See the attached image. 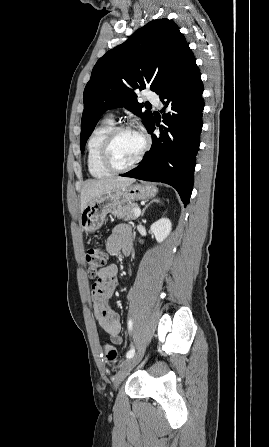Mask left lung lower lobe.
<instances>
[{
    "instance_id": "0a47b994",
    "label": "left lung lower lobe",
    "mask_w": 269,
    "mask_h": 447,
    "mask_svg": "<svg viewBox=\"0 0 269 447\" xmlns=\"http://www.w3.org/2000/svg\"><path fill=\"white\" fill-rule=\"evenodd\" d=\"M195 57L188 48L174 75L159 94L164 104V125L160 135L154 134L155 120L147 130L152 136V148L142 164L121 176L171 185L184 204L189 203L193 189L196 155L200 145L203 83ZM156 119V124L158 125Z\"/></svg>"
}]
</instances>
